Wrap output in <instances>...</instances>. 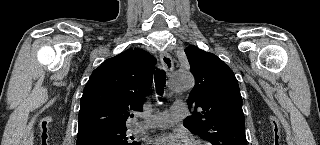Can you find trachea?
Returning a JSON list of instances; mask_svg holds the SVG:
<instances>
[{
  "label": "trachea",
  "mask_w": 320,
  "mask_h": 145,
  "mask_svg": "<svg viewBox=\"0 0 320 145\" xmlns=\"http://www.w3.org/2000/svg\"><path fill=\"white\" fill-rule=\"evenodd\" d=\"M156 92L159 96L163 95L164 85L166 84V72L161 69H157L155 76Z\"/></svg>",
  "instance_id": "3493384b"
}]
</instances>
